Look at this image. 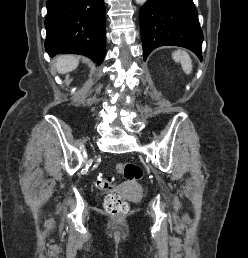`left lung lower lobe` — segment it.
Returning a JSON list of instances; mask_svg holds the SVG:
<instances>
[{
	"instance_id": "obj_1",
	"label": "left lung lower lobe",
	"mask_w": 248,
	"mask_h": 258,
	"mask_svg": "<svg viewBox=\"0 0 248 258\" xmlns=\"http://www.w3.org/2000/svg\"><path fill=\"white\" fill-rule=\"evenodd\" d=\"M143 57L160 46H180L202 60L203 33L193 0H147L139 12Z\"/></svg>"
}]
</instances>
